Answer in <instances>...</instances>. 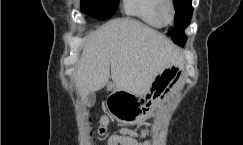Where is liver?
<instances>
[{"mask_svg":"<svg viewBox=\"0 0 243 145\" xmlns=\"http://www.w3.org/2000/svg\"><path fill=\"white\" fill-rule=\"evenodd\" d=\"M182 56L158 31L133 19H114L100 27L85 43L74 73L84 99L109 81L129 93H146L155 77Z\"/></svg>","mask_w":243,"mask_h":145,"instance_id":"liver-1","label":"liver"}]
</instances>
